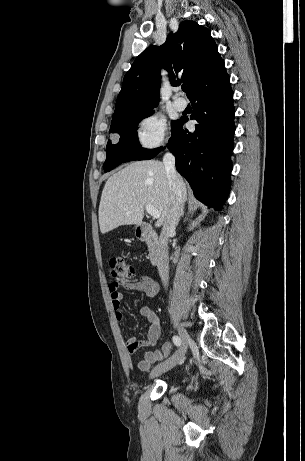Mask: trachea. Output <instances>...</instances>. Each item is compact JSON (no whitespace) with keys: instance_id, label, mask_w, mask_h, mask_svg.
<instances>
[{"instance_id":"obj_1","label":"trachea","mask_w":305,"mask_h":461,"mask_svg":"<svg viewBox=\"0 0 305 461\" xmlns=\"http://www.w3.org/2000/svg\"><path fill=\"white\" fill-rule=\"evenodd\" d=\"M182 90H183L184 92H187V87H186V86H183V87H182Z\"/></svg>"}]
</instances>
